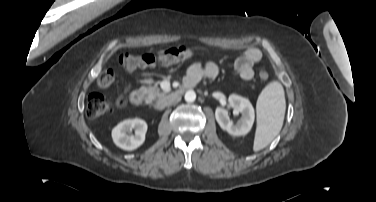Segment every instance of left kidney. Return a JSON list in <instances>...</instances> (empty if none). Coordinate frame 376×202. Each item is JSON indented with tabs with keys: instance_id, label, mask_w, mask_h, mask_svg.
Here are the masks:
<instances>
[{
	"instance_id": "obj_1",
	"label": "left kidney",
	"mask_w": 376,
	"mask_h": 202,
	"mask_svg": "<svg viewBox=\"0 0 376 202\" xmlns=\"http://www.w3.org/2000/svg\"><path fill=\"white\" fill-rule=\"evenodd\" d=\"M228 104L236 113H241V120L234 124L229 118L228 111L218 107L215 111L216 121L223 130L231 135H246L251 130L255 119V112L252 104L248 99L236 94H231L229 96Z\"/></svg>"
}]
</instances>
